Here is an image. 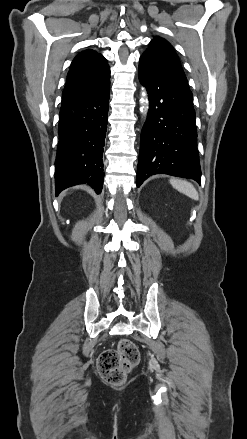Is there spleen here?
Returning a JSON list of instances; mask_svg holds the SVG:
<instances>
[{"instance_id": "1", "label": "spleen", "mask_w": 247, "mask_h": 439, "mask_svg": "<svg viewBox=\"0 0 247 439\" xmlns=\"http://www.w3.org/2000/svg\"><path fill=\"white\" fill-rule=\"evenodd\" d=\"M170 184L172 185L173 188L178 190L180 193L185 194L189 198H191L193 200L199 199L198 192L191 183H189L185 180L173 178V179H170Z\"/></svg>"}]
</instances>
